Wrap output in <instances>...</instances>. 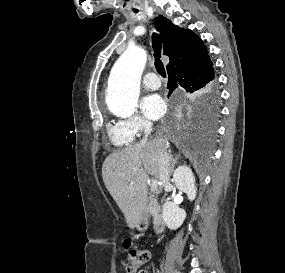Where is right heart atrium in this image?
<instances>
[{
    "instance_id": "1",
    "label": "right heart atrium",
    "mask_w": 285,
    "mask_h": 273,
    "mask_svg": "<svg viewBox=\"0 0 285 273\" xmlns=\"http://www.w3.org/2000/svg\"><path fill=\"white\" fill-rule=\"evenodd\" d=\"M121 127L134 138L147 133L151 123L140 115H134L119 122Z\"/></svg>"
}]
</instances>
